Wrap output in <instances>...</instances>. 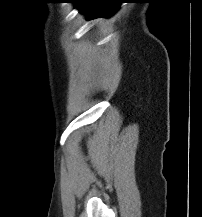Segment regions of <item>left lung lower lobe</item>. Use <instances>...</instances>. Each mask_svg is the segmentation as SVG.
Returning a JSON list of instances; mask_svg holds the SVG:
<instances>
[{
  "label": "left lung lower lobe",
  "instance_id": "0a47b994",
  "mask_svg": "<svg viewBox=\"0 0 202 217\" xmlns=\"http://www.w3.org/2000/svg\"><path fill=\"white\" fill-rule=\"evenodd\" d=\"M121 0H73L79 8V12H87L90 14L88 20L99 17L108 18L118 8Z\"/></svg>",
  "mask_w": 202,
  "mask_h": 217
}]
</instances>
